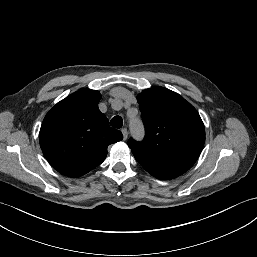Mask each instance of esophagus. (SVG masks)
Returning a JSON list of instances; mask_svg holds the SVG:
<instances>
[{
  "instance_id": "obj_1",
  "label": "esophagus",
  "mask_w": 257,
  "mask_h": 257,
  "mask_svg": "<svg viewBox=\"0 0 257 257\" xmlns=\"http://www.w3.org/2000/svg\"><path fill=\"white\" fill-rule=\"evenodd\" d=\"M121 132H122V134H123V139L126 140L127 137H128V131H127V129H126V128H122V129H121Z\"/></svg>"
}]
</instances>
